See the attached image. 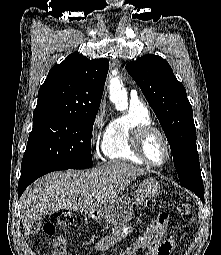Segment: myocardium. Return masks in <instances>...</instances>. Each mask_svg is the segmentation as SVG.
Masks as SVG:
<instances>
[{"instance_id": "myocardium-1", "label": "myocardium", "mask_w": 221, "mask_h": 255, "mask_svg": "<svg viewBox=\"0 0 221 255\" xmlns=\"http://www.w3.org/2000/svg\"><path fill=\"white\" fill-rule=\"evenodd\" d=\"M151 134H156L160 137L162 140L165 149H166V158L161 163H155L151 161L145 152V142L147 138ZM131 144L134 152L137 154V156L147 165L154 166V167H160L165 165L169 162L171 158V147L169 144V141L166 137V135L157 127H155L152 124H146V125H139L137 126L133 132L131 137Z\"/></svg>"}]
</instances>
